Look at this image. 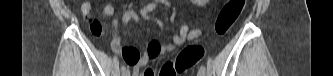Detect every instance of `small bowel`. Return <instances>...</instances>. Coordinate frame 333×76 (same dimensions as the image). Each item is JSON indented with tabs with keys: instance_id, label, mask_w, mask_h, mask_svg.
<instances>
[{
	"instance_id": "obj_1",
	"label": "small bowel",
	"mask_w": 333,
	"mask_h": 76,
	"mask_svg": "<svg viewBox=\"0 0 333 76\" xmlns=\"http://www.w3.org/2000/svg\"><path fill=\"white\" fill-rule=\"evenodd\" d=\"M167 5H170L168 2H165ZM81 12L85 19L89 22L90 31L92 33L93 39H100L101 33H102V26L101 23L96 19H91V10L92 6L89 1H84L81 4ZM172 9L175 12H179V10L175 7H172ZM115 9L114 6L111 3H106L103 6V9L101 11V15L103 17H110L114 14ZM141 16L153 20L155 23H157L159 26H161L160 21L152 18L150 15L147 14L146 11L141 12ZM131 19H138L136 13L133 10H127L123 17H122V23L124 25H127L128 22ZM120 27V23L118 20L113 21V29L114 34L111 42L112 49L114 51L121 50L120 46V40L117 36V31ZM201 35V31L198 29L191 30L189 28L188 24L182 25L179 34L172 35L170 37L171 42L169 43H160L158 40H151L146 44V50L142 57L139 58V54L141 53V48L137 47L136 44H124L123 46V56L125 61L132 66L133 71L135 72V76L142 75L140 74V69L144 66H146L149 62L155 60L159 56H162L166 53H169L173 50H175L178 46L184 44L185 42L194 40L195 38L199 37ZM144 71V70H143ZM155 75V74H154ZM153 75V76H154Z\"/></svg>"
}]
</instances>
